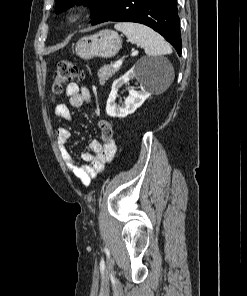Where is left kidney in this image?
<instances>
[{
    "mask_svg": "<svg viewBox=\"0 0 247 296\" xmlns=\"http://www.w3.org/2000/svg\"><path fill=\"white\" fill-rule=\"evenodd\" d=\"M162 69V63L159 61L141 59L124 76L115 80L106 104L107 115L124 118L134 113L151 95L148 87ZM132 79H137L140 83L141 90L135 91L134 89H129V95L124 103L121 106L117 105L115 101L118 97L119 88Z\"/></svg>",
    "mask_w": 247,
    "mask_h": 296,
    "instance_id": "1",
    "label": "left kidney"
}]
</instances>
